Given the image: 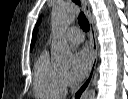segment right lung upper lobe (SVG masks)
<instances>
[{"mask_svg": "<svg viewBox=\"0 0 128 99\" xmlns=\"http://www.w3.org/2000/svg\"><path fill=\"white\" fill-rule=\"evenodd\" d=\"M35 40H36V30H34V32H33V37H32V42H31V49H32V47L35 43Z\"/></svg>", "mask_w": 128, "mask_h": 99, "instance_id": "obj_1", "label": "right lung upper lobe"}]
</instances>
